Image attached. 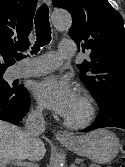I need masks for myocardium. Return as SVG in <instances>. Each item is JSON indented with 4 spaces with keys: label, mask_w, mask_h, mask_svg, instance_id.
<instances>
[{
    "label": "myocardium",
    "mask_w": 125,
    "mask_h": 167,
    "mask_svg": "<svg viewBox=\"0 0 125 167\" xmlns=\"http://www.w3.org/2000/svg\"><path fill=\"white\" fill-rule=\"evenodd\" d=\"M79 97L81 98V100L85 105L86 115L84 116V118L77 121L70 120L65 117L64 124L71 129L85 128L93 121L95 117L96 108L92 97L84 90H80Z\"/></svg>",
    "instance_id": "1"
}]
</instances>
